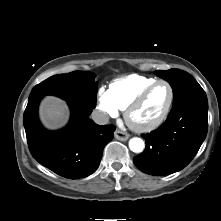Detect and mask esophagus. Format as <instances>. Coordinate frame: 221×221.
Returning <instances> with one entry per match:
<instances>
[{
    "label": "esophagus",
    "instance_id": "obj_1",
    "mask_svg": "<svg viewBox=\"0 0 221 221\" xmlns=\"http://www.w3.org/2000/svg\"><path fill=\"white\" fill-rule=\"evenodd\" d=\"M114 136L117 140L126 141L129 138V135L119 129H116Z\"/></svg>",
    "mask_w": 221,
    "mask_h": 221
}]
</instances>
